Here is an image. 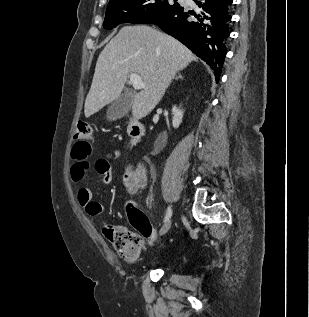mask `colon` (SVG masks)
<instances>
[{
  "instance_id": "colon-1",
  "label": "colon",
  "mask_w": 309,
  "mask_h": 317,
  "mask_svg": "<svg viewBox=\"0 0 309 317\" xmlns=\"http://www.w3.org/2000/svg\"><path fill=\"white\" fill-rule=\"evenodd\" d=\"M75 136L78 142L73 151L84 148L90 152L93 140L90 125L86 122L78 123ZM128 215L131 228L109 226L106 228L105 234L121 258L127 262H134L143 249V239L153 240L155 238V229L147 216L135 207H128Z\"/></svg>"
}]
</instances>
